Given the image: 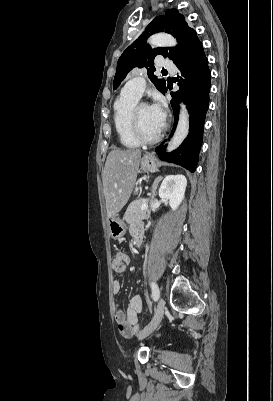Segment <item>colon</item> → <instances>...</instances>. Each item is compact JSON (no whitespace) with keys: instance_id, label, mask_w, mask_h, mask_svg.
Returning a JSON list of instances; mask_svg holds the SVG:
<instances>
[{"instance_id":"colon-1","label":"colon","mask_w":273,"mask_h":401,"mask_svg":"<svg viewBox=\"0 0 273 401\" xmlns=\"http://www.w3.org/2000/svg\"><path fill=\"white\" fill-rule=\"evenodd\" d=\"M116 322H117L118 325L120 326V322L118 321V317H116Z\"/></svg>"}]
</instances>
